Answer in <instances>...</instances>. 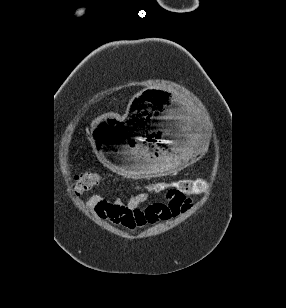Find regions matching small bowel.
I'll return each instance as SVG.
<instances>
[{
	"label": "small bowel",
	"mask_w": 286,
	"mask_h": 308,
	"mask_svg": "<svg viewBox=\"0 0 286 308\" xmlns=\"http://www.w3.org/2000/svg\"><path fill=\"white\" fill-rule=\"evenodd\" d=\"M195 194L170 190L165 193L163 201L143 208L150 201V193L147 191L131 195L127 201L110 200L102 193H96L87 201V207L111 225L134 231L147 224L168 221L186 212L191 208Z\"/></svg>",
	"instance_id": "small-bowel-1"
}]
</instances>
